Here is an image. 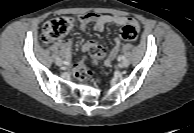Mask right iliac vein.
<instances>
[{"label":"right iliac vein","instance_id":"obj_1","mask_svg":"<svg viewBox=\"0 0 194 133\" xmlns=\"http://www.w3.org/2000/svg\"><path fill=\"white\" fill-rule=\"evenodd\" d=\"M55 63L58 66H62L63 65V61L60 58H56Z\"/></svg>","mask_w":194,"mask_h":133}]
</instances>
